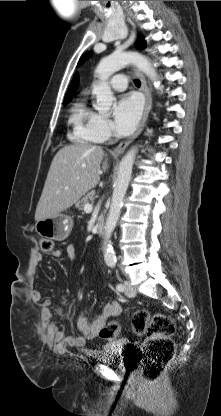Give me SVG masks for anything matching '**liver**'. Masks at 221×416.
Here are the masks:
<instances>
[{
    "mask_svg": "<svg viewBox=\"0 0 221 416\" xmlns=\"http://www.w3.org/2000/svg\"><path fill=\"white\" fill-rule=\"evenodd\" d=\"M100 146L75 143L64 146L54 156L37 204L35 220L54 217L70 208L94 188L108 160ZM103 161V162H102Z\"/></svg>",
    "mask_w": 221,
    "mask_h": 416,
    "instance_id": "1",
    "label": "liver"
}]
</instances>
